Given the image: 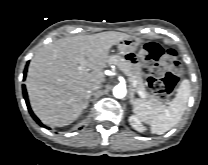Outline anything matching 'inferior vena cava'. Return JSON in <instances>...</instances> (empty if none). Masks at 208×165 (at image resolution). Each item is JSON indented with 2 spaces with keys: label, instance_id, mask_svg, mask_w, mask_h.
Here are the masks:
<instances>
[{
  "label": "inferior vena cava",
  "instance_id": "602c4592",
  "mask_svg": "<svg viewBox=\"0 0 208 165\" xmlns=\"http://www.w3.org/2000/svg\"><path fill=\"white\" fill-rule=\"evenodd\" d=\"M100 87H101V84H91L89 86L88 92L92 93L94 91H97L98 89H100Z\"/></svg>",
  "mask_w": 208,
  "mask_h": 165
}]
</instances>
